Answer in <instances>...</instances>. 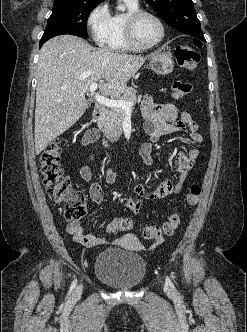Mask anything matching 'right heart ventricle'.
Returning a JSON list of instances; mask_svg holds the SVG:
<instances>
[{
	"label": "right heart ventricle",
	"instance_id": "right-heart-ventricle-1",
	"mask_svg": "<svg viewBox=\"0 0 247 332\" xmlns=\"http://www.w3.org/2000/svg\"><path fill=\"white\" fill-rule=\"evenodd\" d=\"M127 11L125 13L111 14L108 33L104 42V46L114 51H133L135 50L126 40L124 25L126 16L133 11L139 9L138 3L129 0H123Z\"/></svg>",
	"mask_w": 247,
	"mask_h": 332
}]
</instances>
